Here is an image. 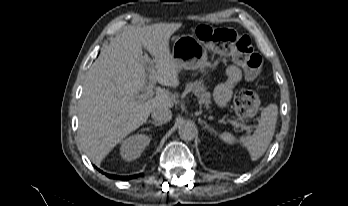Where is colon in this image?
<instances>
[{"label": "colon", "mask_w": 348, "mask_h": 206, "mask_svg": "<svg viewBox=\"0 0 348 206\" xmlns=\"http://www.w3.org/2000/svg\"><path fill=\"white\" fill-rule=\"evenodd\" d=\"M198 40L210 44L220 54L230 55L244 70L249 80L257 78L262 70V58L257 54L251 39L233 29L200 25L195 29ZM234 109L242 118H252L259 112L261 101L252 91L238 90L233 100Z\"/></svg>", "instance_id": "obj_1"}]
</instances>
